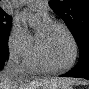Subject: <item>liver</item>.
<instances>
[{
  "label": "liver",
  "instance_id": "6515ba94",
  "mask_svg": "<svg viewBox=\"0 0 89 89\" xmlns=\"http://www.w3.org/2000/svg\"><path fill=\"white\" fill-rule=\"evenodd\" d=\"M83 81L69 78H50L31 80L24 74H9L6 70L0 74L1 89H49L59 85H75Z\"/></svg>",
  "mask_w": 89,
  "mask_h": 89
}]
</instances>
